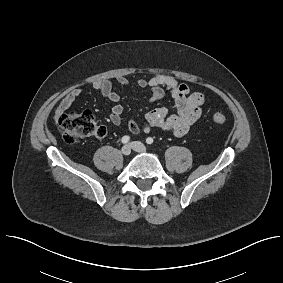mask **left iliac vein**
<instances>
[{
    "label": "left iliac vein",
    "instance_id": "left-iliac-vein-1",
    "mask_svg": "<svg viewBox=\"0 0 283 283\" xmlns=\"http://www.w3.org/2000/svg\"><path fill=\"white\" fill-rule=\"evenodd\" d=\"M132 149L136 152H146V147L143 143L139 141H134L130 143Z\"/></svg>",
    "mask_w": 283,
    "mask_h": 283
}]
</instances>
